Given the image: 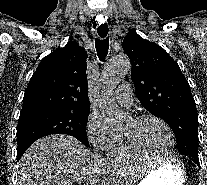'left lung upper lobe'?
Listing matches in <instances>:
<instances>
[{
    "instance_id": "obj_1",
    "label": "left lung upper lobe",
    "mask_w": 207,
    "mask_h": 185,
    "mask_svg": "<svg viewBox=\"0 0 207 185\" xmlns=\"http://www.w3.org/2000/svg\"><path fill=\"white\" fill-rule=\"evenodd\" d=\"M136 96L173 130L181 155H198V115L189 83L179 65L159 45L130 30L123 40Z\"/></svg>"
}]
</instances>
